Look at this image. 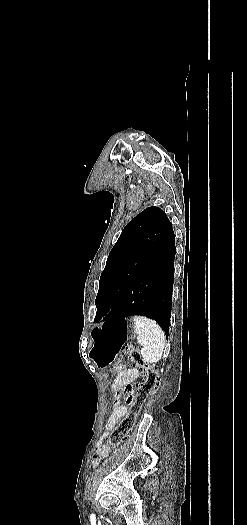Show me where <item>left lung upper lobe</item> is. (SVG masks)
Returning a JSON list of instances; mask_svg holds the SVG:
<instances>
[{"label": "left lung upper lobe", "mask_w": 247, "mask_h": 525, "mask_svg": "<svg viewBox=\"0 0 247 525\" xmlns=\"http://www.w3.org/2000/svg\"><path fill=\"white\" fill-rule=\"evenodd\" d=\"M170 224L165 212L149 207L124 227L100 277L94 321H99L126 294Z\"/></svg>", "instance_id": "1"}]
</instances>
